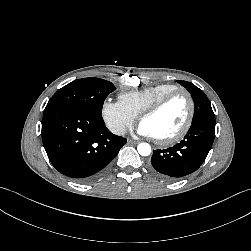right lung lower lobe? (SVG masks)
I'll list each match as a JSON object with an SVG mask.
<instances>
[{
  "label": "right lung lower lobe",
  "mask_w": 251,
  "mask_h": 251,
  "mask_svg": "<svg viewBox=\"0 0 251 251\" xmlns=\"http://www.w3.org/2000/svg\"><path fill=\"white\" fill-rule=\"evenodd\" d=\"M43 115L41 134L49 160L78 182L101 176L127 141L105 127L101 114L55 109Z\"/></svg>",
  "instance_id": "right-lung-lower-lobe-1"
}]
</instances>
